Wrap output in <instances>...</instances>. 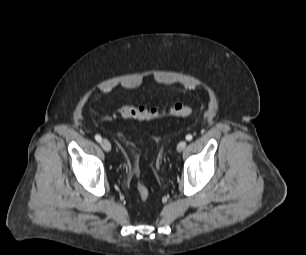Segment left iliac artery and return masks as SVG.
I'll use <instances>...</instances> for the list:
<instances>
[{
  "label": "left iliac artery",
  "mask_w": 306,
  "mask_h": 255,
  "mask_svg": "<svg viewBox=\"0 0 306 255\" xmlns=\"http://www.w3.org/2000/svg\"><path fill=\"white\" fill-rule=\"evenodd\" d=\"M185 139L187 141H191L193 139V136L191 134L186 135Z\"/></svg>",
  "instance_id": "44dca946"
}]
</instances>
